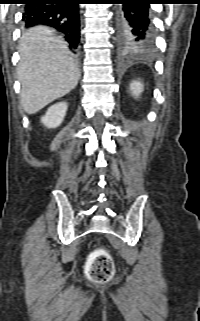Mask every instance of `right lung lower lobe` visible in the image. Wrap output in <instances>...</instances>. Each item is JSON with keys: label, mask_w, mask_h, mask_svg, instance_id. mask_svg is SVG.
<instances>
[{"label": "right lung lower lobe", "mask_w": 200, "mask_h": 321, "mask_svg": "<svg viewBox=\"0 0 200 321\" xmlns=\"http://www.w3.org/2000/svg\"><path fill=\"white\" fill-rule=\"evenodd\" d=\"M22 20L25 27L46 25L58 30L72 50L80 39V0H26Z\"/></svg>", "instance_id": "1"}]
</instances>
